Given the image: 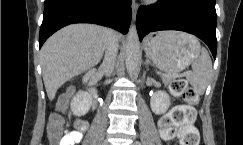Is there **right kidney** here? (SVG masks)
<instances>
[{"label":"right kidney","instance_id":"obj_1","mask_svg":"<svg viewBox=\"0 0 243 145\" xmlns=\"http://www.w3.org/2000/svg\"><path fill=\"white\" fill-rule=\"evenodd\" d=\"M92 98L89 93L79 91L72 99L70 108L74 115L84 116L91 107Z\"/></svg>","mask_w":243,"mask_h":145}]
</instances>
